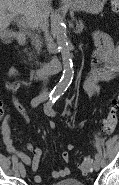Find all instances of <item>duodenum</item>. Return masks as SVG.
Returning a JSON list of instances; mask_svg holds the SVG:
<instances>
[{"mask_svg": "<svg viewBox=\"0 0 119 185\" xmlns=\"http://www.w3.org/2000/svg\"><path fill=\"white\" fill-rule=\"evenodd\" d=\"M26 35L24 33H18L16 36L17 43L24 45L26 43ZM62 69V62L58 58L52 59L42 67L32 70L31 77L36 80L43 79L45 77L55 75Z\"/></svg>", "mask_w": 119, "mask_h": 185, "instance_id": "obj_1", "label": "duodenum"}]
</instances>
